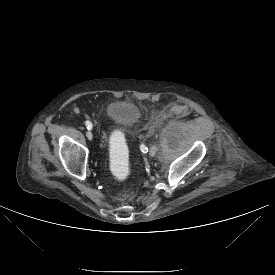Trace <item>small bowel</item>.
Returning <instances> with one entry per match:
<instances>
[{
    "label": "small bowel",
    "mask_w": 275,
    "mask_h": 275,
    "mask_svg": "<svg viewBox=\"0 0 275 275\" xmlns=\"http://www.w3.org/2000/svg\"><path fill=\"white\" fill-rule=\"evenodd\" d=\"M66 115L71 120H78L83 115V108L78 103H71L66 108Z\"/></svg>",
    "instance_id": "obj_1"
}]
</instances>
